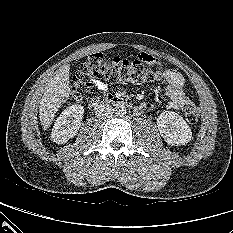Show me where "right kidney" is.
I'll return each mask as SVG.
<instances>
[{
  "mask_svg": "<svg viewBox=\"0 0 233 233\" xmlns=\"http://www.w3.org/2000/svg\"><path fill=\"white\" fill-rule=\"evenodd\" d=\"M84 108L75 104L67 107L57 118L52 129V140L56 143H66L73 138L81 125Z\"/></svg>",
  "mask_w": 233,
  "mask_h": 233,
  "instance_id": "ca27d5eb",
  "label": "right kidney"
}]
</instances>
